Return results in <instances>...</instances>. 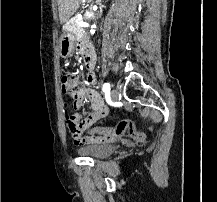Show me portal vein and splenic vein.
<instances>
[{
  "label": "portal vein and splenic vein",
  "instance_id": "obj_1",
  "mask_svg": "<svg viewBox=\"0 0 217 202\" xmlns=\"http://www.w3.org/2000/svg\"><path fill=\"white\" fill-rule=\"evenodd\" d=\"M77 26H82V28H87L86 22H81V18H78V22H75Z\"/></svg>",
  "mask_w": 217,
  "mask_h": 202
}]
</instances>
